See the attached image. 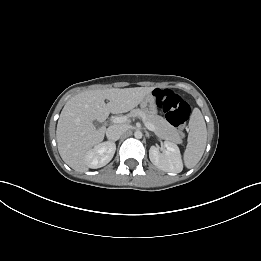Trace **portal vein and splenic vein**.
Masks as SVG:
<instances>
[{"label":"portal vein and splenic vein","mask_w":261,"mask_h":261,"mask_svg":"<svg viewBox=\"0 0 261 261\" xmlns=\"http://www.w3.org/2000/svg\"><path fill=\"white\" fill-rule=\"evenodd\" d=\"M127 120H128V118L126 116H120V117H115L113 119V122L114 123H124ZM144 124L147 127V129H149L150 131H155V127L151 123L144 121Z\"/></svg>","instance_id":"portal-vein-and-splenic-vein-1"}]
</instances>
